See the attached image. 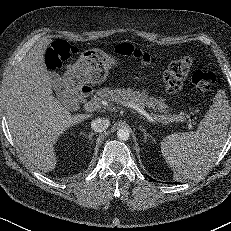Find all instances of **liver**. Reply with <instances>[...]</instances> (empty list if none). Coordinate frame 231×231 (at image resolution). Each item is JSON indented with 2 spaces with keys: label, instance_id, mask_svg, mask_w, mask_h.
Returning <instances> with one entry per match:
<instances>
[{
  "label": "liver",
  "instance_id": "1",
  "mask_svg": "<svg viewBox=\"0 0 231 231\" xmlns=\"http://www.w3.org/2000/svg\"><path fill=\"white\" fill-rule=\"evenodd\" d=\"M49 39L39 41L14 68L6 92V117L19 151L36 168L52 171L54 145L67 129L92 118L75 114L52 94V79L44 55Z\"/></svg>",
  "mask_w": 231,
  "mask_h": 231
}]
</instances>
